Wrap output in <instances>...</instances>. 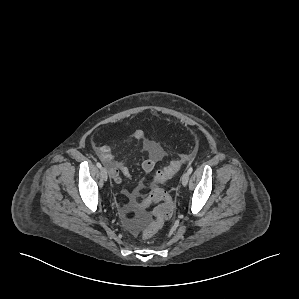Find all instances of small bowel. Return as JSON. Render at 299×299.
<instances>
[{"mask_svg": "<svg viewBox=\"0 0 299 299\" xmlns=\"http://www.w3.org/2000/svg\"><path fill=\"white\" fill-rule=\"evenodd\" d=\"M131 139L138 142L147 153V158L142 162V169L146 173L152 172L156 164L165 156L163 147L159 143L147 138L145 132L141 129L136 130L132 134ZM96 151L99 159L108 167L110 176L115 182L120 183L121 176H130V171L124 162L122 160H115L111 147L105 145L99 146ZM143 189L144 185L140 184L133 191H124L125 196L129 200L128 203L122 207V212L125 217H127L128 213L135 210L137 196Z\"/></svg>", "mask_w": 299, "mask_h": 299, "instance_id": "obj_1", "label": "small bowel"}]
</instances>
